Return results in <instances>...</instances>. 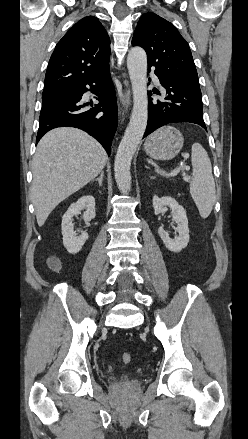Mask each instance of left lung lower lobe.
<instances>
[{
	"label": "left lung lower lobe",
	"mask_w": 248,
	"mask_h": 439,
	"mask_svg": "<svg viewBox=\"0 0 248 439\" xmlns=\"http://www.w3.org/2000/svg\"><path fill=\"white\" fill-rule=\"evenodd\" d=\"M150 68L148 66V70ZM155 74L163 87V99L153 100L152 92H148V122L144 137L169 123L190 122L206 130L200 87L180 82L157 71ZM153 93L160 95L158 90H153Z\"/></svg>",
	"instance_id": "0a47b994"
}]
</instances>
